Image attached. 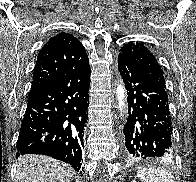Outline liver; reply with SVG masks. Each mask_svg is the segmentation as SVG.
<instances>
[{"label": "liver", "instance_id": "6515ba94", "mask_svg": "<svg viewBox=\"0 0 196 182\" xmlns=\"http://www.w3.org/2000/svg\"><path fill=\"white\" fill-rule=\"evenodd\" d=\"M70 165L44 155H24L18 159L16 182H72Z\"/></svg>", "mask_w": 196, "mask_h": 182}]
</instances>
